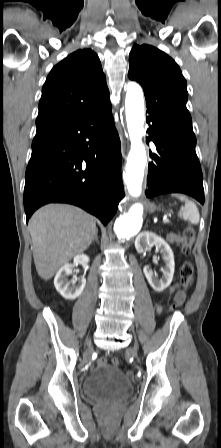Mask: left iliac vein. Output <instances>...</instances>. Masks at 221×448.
I'll return each instance as SVG.
<instances>
[{
  "label": "left iliac vein",
  "mask_w": 221,
  "mask_h": 448,
  "mask_svg": "<svg viewBox=\"0 0 221 448\" xmlns=\"http://www.w3.org/2000/svg\"><path fill=\"white\" fill-rule=\"evenodd\" d=\"M127 352L128 353H130V354H132V355H134V356H136L137 355V348L136 347H129L128 349H127Z\"/></svg>",
  "instance_id": "obj_1"
}]
</instances>
